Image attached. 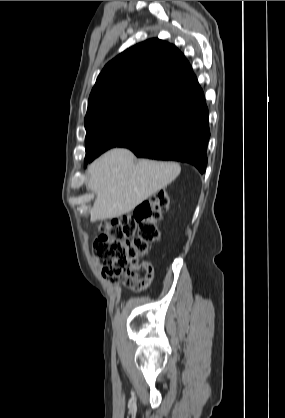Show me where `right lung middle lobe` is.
I'll use <instances>...</instances> for the list:
<instances>
[{
    "mask_svg": "<svg viewBox=\"0 0 285 418\" xmlns=\"http://www.w3.org/2000/svg\"><path fill=\"white\" fill-rule=\"evenodd\" d=\"M169 109L156 103L133 100L107 105L87 115L84 162L131 140L162 118Z\"/></svg>",
    "mask_w": 285,
    "mask_h": 418,
    "instance_id": "obj_1",
    "label": "right lung middle lobe"
}]
</instances>
